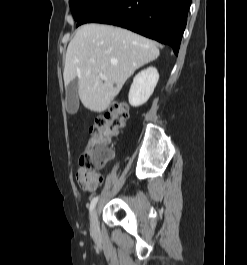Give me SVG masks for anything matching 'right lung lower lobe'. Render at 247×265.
Instances as JSON below:
<instances>
[{
  "mask_svg": "<svg viewBox=\"0 0 247 265\" xmlns=\"http://www.w3.org/2000/svg\"><path fill=\"white\" fill-rule=\"evenodd\" d=\"M191 0H98L77 26L97 22L127 28L168 44L178 55Z\"/></svg>",
  "mask_w": 247,
  "mask_h": 265,
  "instance_id": "right-lung-lower-lobe-1",
  "label": "right lung lower lobe"
}]
</instances>
